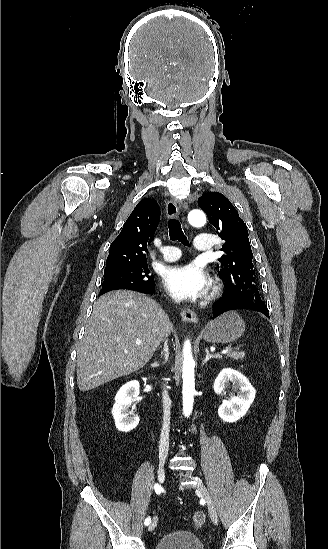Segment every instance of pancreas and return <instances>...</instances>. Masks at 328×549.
Returning <instances> with one entry per match:
<instances>
[{
	"label": "pancreas",
	"mask_w": 328,
	"mask_h": 549,
	"mask_svg": "<svg viewBox=\"0 0 328 549\" xmlns=\"http://www.w3.org/2000/svg\"><path fill=\"white\" fill-rule=\"evenodd\" d=\"M227 357H230V359H234V361H243L245 357L244 351L242 353H237V351H231V353H227ZM221 359V357H219Z\"/></svg>",
	"instance_id": "1"
}]
</instances>
